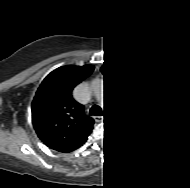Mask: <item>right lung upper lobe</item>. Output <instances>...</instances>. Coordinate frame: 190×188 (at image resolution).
Listing matches in <instances>:
<instances>
[{
	"label": "right lung upper lobe",
	"mask_w": 190,
	"mask_h": 188,
	"mask_svg": "<svg viewBox=\"0 0 190 188\" xmlns=\"http://www.w3.org/2000/svg\"><path fill=\"white\" fill-rule=\"evenodd\" d=\"M91 66H63L52 71L41 83L32 103V122L38 137L58 151L85 141L93 119L72 97L73 88L92 72Z\"/></svg>",
	"instance_id": "obj_1"
}]
</instances>
